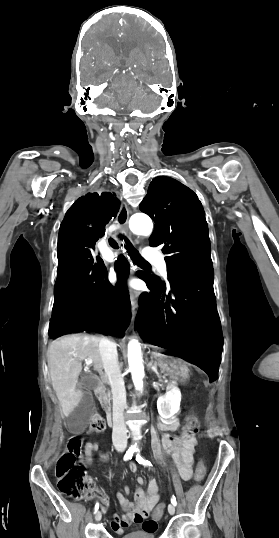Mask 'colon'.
<instances>
[{
    "instance_id": "1",
    "label": "colon",
    "mask_w": 279,
    "mask_h": 538,
    "mask_svg": "<svg viewBox=\"0 0 279 538\" xmlns=\"http://www.w3.org/2000/svg\"><path fill=\"white\" fill-rule=\"evenodd\" d=\"M200 427L197 416L190 414L185 419L184 436L194 435ZM105 429V421L101 415L95 414L91 417L89 432L101 433ZM82 457V441L79 438H72L68 441L66 448L61 455L57 466L56 476L58 487L61 492L71 498L83 497L93 486L92 480L88 477L79 459ZM206 475V466L202 459H199L195 470L196 481H202ZM106 502L107 498L102 497ZM165 510V505H158L153 513L155 520L160 519Z\"/></svg>"
}]
</instances>
